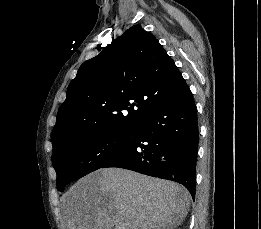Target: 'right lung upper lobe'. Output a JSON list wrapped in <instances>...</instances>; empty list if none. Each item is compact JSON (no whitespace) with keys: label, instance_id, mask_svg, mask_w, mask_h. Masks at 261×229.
<instances>
[{"label":"right lung upper lobe","instance_id":"obj_1","mask_svg":"<svg viewBox=\"0 0 261 229\" xmlns=\"http://www.w3.org/2000/svg\"><path fill=\"white\" fill-rule=\"evenodd\" d=\"M182 80L155 36L132 26L80 66L57 114L53 150L84 131L134 133Z\"/></svg>","mask_w":261,"mask_h":229}]
</instances>
